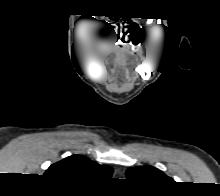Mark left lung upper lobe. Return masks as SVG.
<instances>
[{
    "mask_svg": "<svg viewBox=\"0 0 220 196\" xmlns=\"http://www.w3.org/2000/svg\"><path fill=\"white\" fill-rule=\"evenodd\" d=\"M126 175L129 180L145 185L169 184L174 182L162 171L152 166L130 168L126 171Z\"/></svg>",
    "mask_w": 220,
    "mask_h": 196,
    "instance_id": "left-lung-upper-lobe-1",
    "label": "left lung upper lobe"
}]
</instances>
